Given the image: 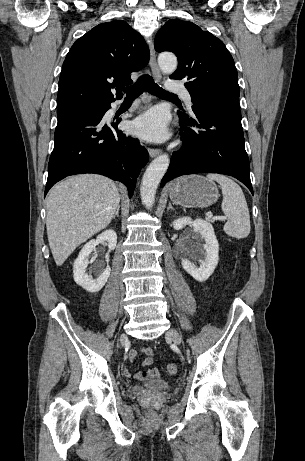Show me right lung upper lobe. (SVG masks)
<instances>
[{
  "instance_id": "right-lung-upper-lobe-1",
  "label": "right lung upper lobe",
  "mask_w": 305,
  "mask_h": 461,
  "mask_svg": "<svg viewBox=\"0 0 305 461\" xmlns=\"http://www.w3.org/2000/svg\"><path fill=\"white\" fill-rule=\"evenodd\" d=\"M150 52L143 37L125 21L102 23L79 38L63 63L58 109L113 102L111 88L130 85L132 72L147 65Z\"/></svg>"
}]
</instances>
